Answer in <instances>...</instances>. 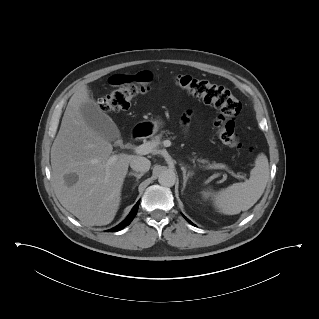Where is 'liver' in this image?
Segmentation results:
<instances>
[{"label": "liver", "instance_id": "obj_1", "mask_svg": "<svg viewBox=\"0 0 319 319\" xmlns=\"http://www.w3.org/2000/svg\"><path fill=\"white\" fill-rule=\"evenodd\" d=\"M90 100L84 85L68 102L51 147L52 182L64 208L85 225L102 226L111 223L119 209L123 181L135 156L112 155V144L86 124L80 108ZM113 156L116 160L109 164ZM69 174L77 176L71 186L65 182Z\"/></svg>", "mask_w": 319, "mask_h": 319}]
</instances>
